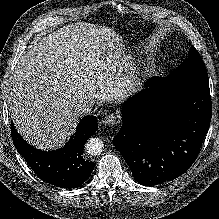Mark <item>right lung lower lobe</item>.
I'll use <instances>...</instances> for the list:
<instances>
[{
  "label": "right lung lower lobe",
  "instance_id": "98d812e1",
  "mask_svg": "<svg viewBox=\"0 0 219 219\" xmlns=\"http://www.w3.org/2000/svg\"><path fill=\"white\" fill-rule=\"evenodd\" d=\"M98 128L95 116L83 117L66 145L56 151H41L29 145L11 123V134L17 151L42 180L62 188H76L85 182L94 163L85 159L84 144Z\"/></svg>",
  "mask_w": 219,
  "mask_h": 219
}]
</instances>
